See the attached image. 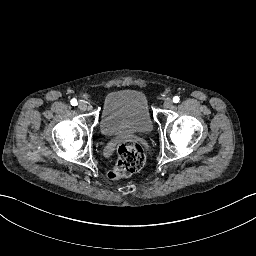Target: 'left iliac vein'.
<instances>
[{
	"label": "left iliac vein",
	"instance_id": "left-iliac-vein-1",
	"mask_svg": "<svg viewBox=\"0 0 256 256\" xmlns=\"http://www.w3.org/2000/svg\"><path fill=\"white\" fill-rule=\"evenodd\" d=\"M163 106L165 109H169L173 106V101L172 99H166L163 103Z\"/></svg>",
	"mask_w": 256,
	"mask_h": 256
}]
</instances>
